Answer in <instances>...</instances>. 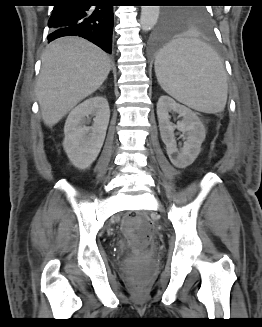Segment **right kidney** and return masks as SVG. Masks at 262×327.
I'll return each instance as SVG.
<instances>
[{
	"mask_svg": "<svg viewBox=\"0 0 262 327\" xmlns=\"http://www.w3.org/2000/svg\"><path fill=\"white\" fill-rule=\"evenodd\" d=\"M89 116H94L92 127L85 126ZM109 118L108 101L101 96L85 100L69 113L63 147L75 167L84 170L95 161L106 136Z\"/></svg>",
	"mask_w": 262,
	"mask_h": 327,
	"instance_id": "1",
	"label": "right kidney"
}]
</instances>
